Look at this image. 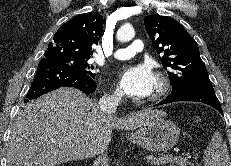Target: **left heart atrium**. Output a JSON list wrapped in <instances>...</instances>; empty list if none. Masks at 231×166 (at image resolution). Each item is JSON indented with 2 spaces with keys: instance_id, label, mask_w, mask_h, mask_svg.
<instances>
[{
  "instance_id": "39dd6f15",
  "label": "left heart atrium",
  "mask_w": 231,
  "mask_h": 166,
  "mask_svg": "<svg viewBox=\"0 0 231 166\" xmlns=\"http://www.w3.org/2000/svg\"><path fill=\"white\" fill-rule=\"evenodd\" d=\"M119 86L131 97H145L152 93L155 76L147 65L131 66L119 74Z\"/></svg>"
}]
</instances>
